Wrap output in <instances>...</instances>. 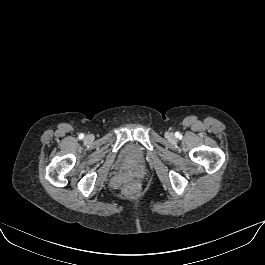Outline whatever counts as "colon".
I'll return each instance as SVG.
<instances>
[{"label":"colon","instance_id":"5ec220e1","mask_svg":"<svg viewBox=\"0 0 265 265\" xmlns=\"http://www.w3.org/2000/svg\"><path fill=\"white\" fill-rule=\"evenodd\" d=\"M138 190V186L136 183H130L125 186L124 191L128 195H134Z\"/></svg>","mask_w":265,"mask_h":265}]
</instances>
